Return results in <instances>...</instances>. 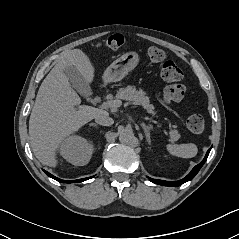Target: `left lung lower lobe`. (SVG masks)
<instances>
[{
  "mask_svg": "<svg viewBox=\"0 0 239 239\" xmlns=\"http://www.w3.org/2000/svg\"><path fill=\"white\" fill-rule=\"evenodd\" d=\"M210 150H211V148L207 151L203 161L201 163H199L198 165H196L192 169V171L185 178H183L182 180L170 182V181H164V180L151 179L150 177H148V178L151 182H153L155 184H159V185H163V186H174V187L180 186L183 183L188 182L195 177V175L199 172V170L201 169V167L203 166V164L207 160V157L210 153Z\"/></svg>",
  "mask_w": 239,
  "mask_h": 239,
  "instance_id": "obj_1",
  "label": "left lung lower lobe"
}]
</instances>
